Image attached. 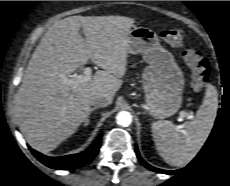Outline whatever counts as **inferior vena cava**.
<instances>
[{"label":"inferior vena cava","instance_id":"obj_1","mask_svg":"<svg viewBox=\"0 0 230 186\" xmlns=\"http://www.w3.org/2000/svg\"><path fill=\"white\" fill-rule=\"evenodd\" d=\"M110 99L104 94H96L92 96L90 104L96 107H106L110 105Z\"/></svg>","mask_w":230,"mask_h":186}]
</instances>
